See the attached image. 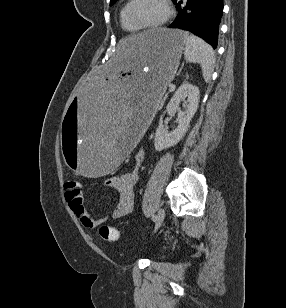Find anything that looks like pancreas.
Segmentation results:
<instances>
[{"label": "pancreas", "mask_w": 286, "mask_h": 308, "mask_svg": "<svg viewBox=\"0 0 286 308\" xmlns=\"http://www.w3.org/2000/svg\"><path fill=\"white\" fill-rule=\"evenodd\" d=\"M163 101H164V100H162V99H161L160 101H158V102L156 103V106H155V107H160V106L163 104Z\"/></svg>", "instance_id": "pancreas-1"}]
</instances>
